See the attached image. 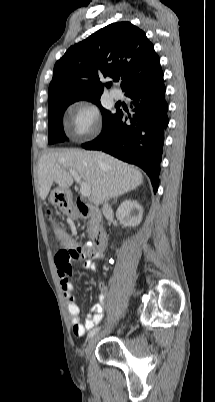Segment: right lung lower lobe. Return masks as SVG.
Here are the masks:
<instances>
[{
  "label": "right lung lower lobe",
  "instance_id": "obj_1",
  "mask_svg": "<svg viewBox=\"0 0 215 402\" xmlns=\"http://www.w3.org/2000/svg\"><path fill=\"white\" fill-rule=\"evenodd\" d=\"M163 79L150 86L130 91L128 96L135 114L127 117L117 111L93 141L82 144L90 150H102L142 168L151 179L154 192L159 185L164 131L169 119Z\"/></svg>",
  "mask_w": 215,
  "mask_h": 402
}]
</instances>
